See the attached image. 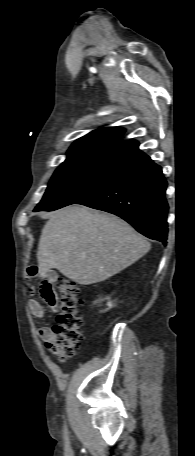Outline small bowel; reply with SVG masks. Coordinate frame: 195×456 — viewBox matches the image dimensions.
<instances>
[{
	"mask_svg": "<svg viewBox=\"0 0 195 456\" xmlns=\"http://www.w3.org/2000/svg\"><path fill=\"white\" fill-rule=\"evenodd\" d=\"M27 277L30 283V290L34 292V286L32 285V280L36 277L41 279L40 284V293L45 302L51 307L55 308L56 306V294L53 288L54 277L51 274H39L36 267L31 266L27 270ZM30 312L33 316L37 318H42L44 316V308L37 300L29 301ZM39 337L46 343L52 342L55 340V333L53 329L49 327H41L38 329Z\"/></svg>",
	"mask_w": 195,
	"mask_h": 456,
	"instance_id": "small-bowel-1",
	"label": "small bowel"
}]
</instances>
